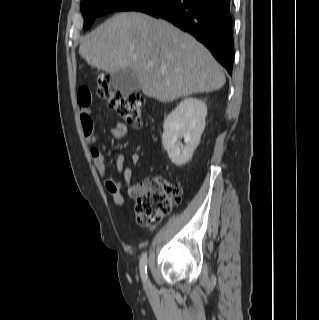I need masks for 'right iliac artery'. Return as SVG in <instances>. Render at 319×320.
<instances>
[{
	"mask_svg": "<svg viewBox=\"0 0 319 320\" xmlns=\"http://www.w3.org/2000/svg\"><path fill=\"white\" fill-rule=\"evenodd\" d=\"M140 274L143 282L147 283L148 275H147V255L146 254H143L140 259Z\"/></svg>",
	"mask_w": 319,
	"mask_h": 320,
	"instance_id": "1",
	"label": "right iliac artery"
}]
</instances>
